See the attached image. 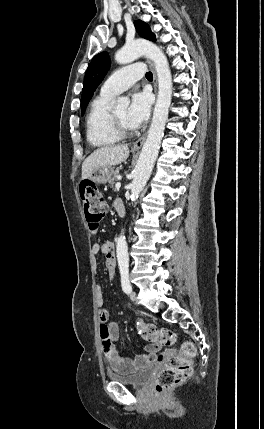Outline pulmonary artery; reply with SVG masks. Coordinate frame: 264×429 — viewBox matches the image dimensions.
<instances>
[{"instance_id": "pulmonary-artery-1", "label": "pulmonary artery", "mask_w": 264, "mask_h": 429, "mask_svg": "<svg viewBox=\"0 0 264 429\" xmlns=\"http://www.w3.org/2000/svg\"><path fill=\"white\" fill-rule=\"evenodd\" d=\"M145 67L141 63L125 66L114 72L102 85L101 93L115 96L130 88L138 79L143 77Z\"/></svg>"}]
</instances>
